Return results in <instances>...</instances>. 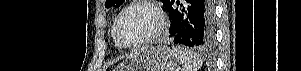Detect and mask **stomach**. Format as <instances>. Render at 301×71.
I'll return each instance as SVG.
<instances>
[{
  "instance_id": "obj_1",
  "label": "stomach",
  "mask_w": 301,
  "mask_h": 71,
  "mask_svg": "<svg viewBox=\"0 0 301 71\" xmlns=\"http://www.w3.org/2000/svg\"><path fill=\"white\" fill-rule=\"evenodd\" d=\"M178 59L166 46L144 47L127 57L117 71H175Z\"/></svg>"
}]
</instances>
